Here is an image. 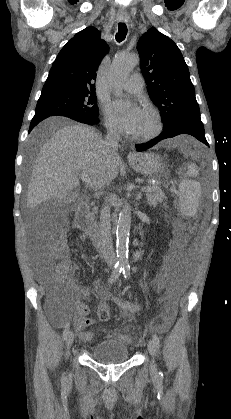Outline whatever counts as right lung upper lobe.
<instances>
[{
  "instance_id": "right-lung-upper-lobe-1",
  "label": "right lung upper lobe",
  "mask_w": 231,
  "mask_h": 419,
  "mask_svg": "<svg viewBox=\"0 0 231 419\" xmlns=\"http://www.w3.org/2000/svg\"><path fill=\"white\" fill-rule=\"evenodd\" d=\"M108 51L100 32L94 27L85 28L61 49L43 87L59 85L95 91L96 71Z\"/></svg>"
}]
</instances>
